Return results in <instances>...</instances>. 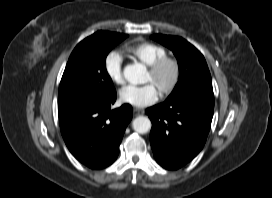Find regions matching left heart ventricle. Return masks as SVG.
<instances>
[{
  "mask_svg": "<svg viewBox=\"0 0 272 198\" xmlns=\"http://www.w3.org/2000/svg\"><path fill=\"white\" fill-rule=\"evenodd\" d=\"M170 77H171L170 70L166 69L160 76H158L155 79L152 78L150 73L148 72L145 81L152 83L159 92L160 89L169 82Z\"/></svg>",
  "mask_w": 272,
  "mask_h": 198,
  "instance_id": "1",
  "label": "left heart ventricle"
}]
</instances>
